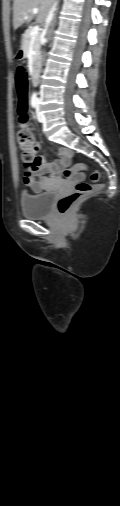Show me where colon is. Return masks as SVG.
I'll list each match as a JSON object with an SVG mask.
<instances>
[{
	"mask_svg": "<svg viewBox=\"0 0 120 506\" xmlns=\"http://www.w3.org/2000/svg\"><path fill=\"white\" fill-rule=\"evenodd\" d=\"M16 50L14 52V57L16 60H25L26 58H17ZM28 77L29 72L27 69H18L16 72V88H17V114L18 121L21 125H24L28 120V101H27V93H28ZM17 140L19 144V148L21 151V160L23 163L24 169L30 173L35 171L39 167V157L37 156L38 146L37 142L33 136V134L27 130H20L17 133ZM86 166L84 164H78L70 169L64 170L63 174L66 177L71 176L73 173L77 171L84 170ZM100 179V173L97 171H93L91 174L92 183L79 181L77 182L75 189L73 192L62 196L57 202V211L61 214L67 213L72 206L80 201L81 199L87 197L93 192L97 191L100 186L97 182Z\"/></svg>",
	"mask_w": 120,
	"mask_h": 506,
	"instance_id": "1",
	"label": "colon"
}]
</instances>
